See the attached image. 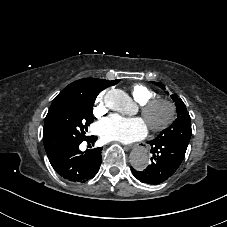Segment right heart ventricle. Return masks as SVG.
<instances>
[{
	"instance_id": "1",
	"label": "right heart ventricle",
	"mask_w": 227,
	"mask_h": 227,
	"mask_svg": "<svg viewBox=\"0 0 227 227\" xmlns=\"http://www.w3.org/2000/svg\"><path fill=\"white\" fill-rule=\"evenodd\" d=\"M130 95L140 105L156 97V93L141 83H134L130 87Z\"/></svg>"
}]
</instances>
